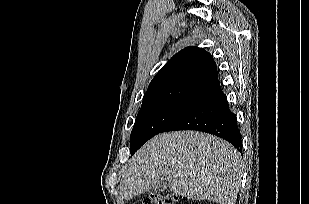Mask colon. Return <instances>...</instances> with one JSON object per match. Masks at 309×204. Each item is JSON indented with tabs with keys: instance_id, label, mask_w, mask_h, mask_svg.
<instances>
[{
	"instance_id": "5ec220e1",
	"label": "colon",
	"mask_w": 309,
	"mask_h": 204,
	"mask_svg": "<svg viewBox=\"0 0 309 204\" xmlns=\"http://www.w3.org/2000/svg\"><path fill=\"white\" fill-rule=\"evenodd\" d=\"M176 197L167 193H154L143 201V204H175Z\"/></svg>"
}]
</instances>
